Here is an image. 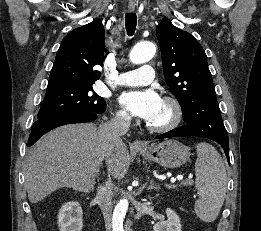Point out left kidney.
<instances>
[{"instance_id": "left-kidney-1", "label": "left kidney", "mask_w": 261, "mask_h": 231, "mask_svg": "<svg viewBox=\"0 0 261 231\" xmlns=\"http://www.w3.org/2000/svg\"><path fill=\"white\" fill-rule=\"evenodd\" d=\"M168 219L166 221L158 222L153 231H182V225L179 216L171 208L166 209Z\"/></svg>"}]
</instances>
